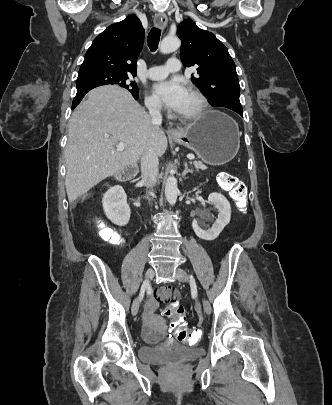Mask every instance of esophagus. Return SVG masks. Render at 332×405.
<instances>
[{
    "instance_id": "esophagus-1",
    "label": "esophagus",
    "mask_w": 332,
    "mask_h": 405,
    "mask_svg": "<svg viewBox=\"0 0 332 405\" xmlns=\"http://www.w3.org/2000/svg\"><path fill=\"white\" fill-rule=\"evenodd\" d=\"M168 23V18L167 15L163 12L156 14L155 18H154V24L156 27L164 29L167 26ZM167 133L171 136H177L180 134V132L173 128V127H169L167 130Z\"/></svg>"
}]
</instances>
